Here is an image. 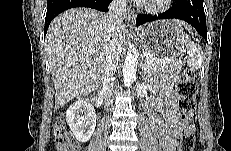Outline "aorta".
Masks as SVG:
<instances>
[{"instance_id":"obj_1","label":"aorta","mask_w":231,"mask_h":151,"mask_svg":"<svg viewBox=\"0 0 231 151\" xmlns=\"http://www.w3.org/2000/svg\"><path fill=\"white\" fill-rule=\"evenodd\" d=\"M138 57V49L134 45H130L123 66V81L126 87L131 86L136 79Z\"/></svg>"}]
</instances>
